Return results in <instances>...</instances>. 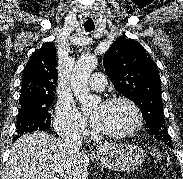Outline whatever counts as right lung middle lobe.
<instances>
[{
    "label": "right lung middle lobe",
    "mask_w": 183,
    "mask_h": 179,
    "mask_svg": "<svg viewBox=\"0 0 183 179\" xmlns=\"http://www.w3.org/2000/svg\"><path fill=\"white\" fill-rule=\"evenodd\" d=\"M53 96L19 101L16 138L27 132L48 130L50 128L49 107Z\"/></svg>",
    "instance_id": "dd1d6c3e"
}]
</instances>
